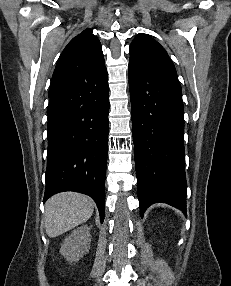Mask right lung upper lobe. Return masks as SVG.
<instances>
[{"instance_id": "cb5924a9", "label": "right lung upper lobe", "mask_w": 231, "mask_h": 286, "mask_svg": "<svg viewBox=\"0 0 231 286\" xmlns=\"http://www.w3.org/2000/svg\"><path fill=\"white\" fill-rule=\"evenodd\" d=\"M105 72L100 41L92 34V30L86 29L74 37L63 50L53 73L49 98Z\"/></svg>"}]
</instances>
